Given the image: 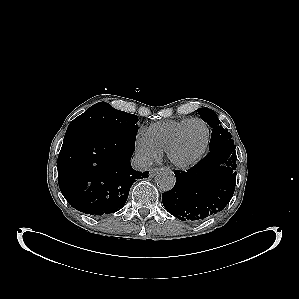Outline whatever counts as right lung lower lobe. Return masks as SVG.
Segmentation results:
<instances>
[{
	"instance_id": "98d812e1",
	"label": "right lung lower lobe",
	"mask_w": 299,
	"mask_h": 299,
	"mask_svg": "<svg viewBox=\"0 0 299 299\" xmlns=\"http://www.w3.org/2000/svg\"><path fill=\"white\" fill-rule=\"evenodd\" d=\"M136 133L117 131L65 134L58 156V184L76 210L102 216L120 210L132 184L148 171L131 167Z\"/></svg>"
}]
</instances>
